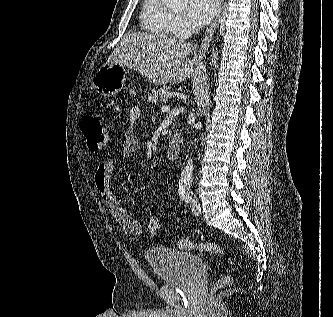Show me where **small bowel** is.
<instances>
[{
    "instance_id": "obj_1",
    "label": "small bowel",
    "mask_w": 333,
    "mask_h": 317,
    "mask_svg": "<svg viewBox=\"0 0 333 317\" xmlns=\"http://www.w3.org/2000/svg\"><path fill=\"white\" fill-rule=\"evenodd\" d=\"M141 115V109L134 106L129 111V124L122 136L120 152L124 156L135 154L139 149V140L134 134V128ZM114 171V160L105 159L100 162L94 174V182L101 198L114 220L128 233H142L146 220H138L128 214L111 188V178Z\"/></svg>"
}]
</instances>
